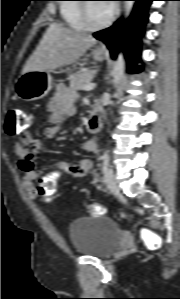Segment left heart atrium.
I'll return each instance as SVG.
<instances>
[{"label": "left heart atrium", "instance_id": "obj_1", "mask_svg": "<svg viewBox=\"0 0 180 299\" xmlns=\"http://www.w3.org/2000/svg\"><path fill=\"white\" fill-rule=\"evenodd\" d=\"M109 2H112V1H109ZM106 6H107V8H108V10H109L110 12L113 11V9H114V4H113V3H108V4H106Z\"/></svg>", "mask_w": 180, "mask_h": 299}]
</instances>
